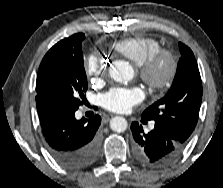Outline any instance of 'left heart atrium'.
<instances>
[{
	"label": "left heart atrium",
	"instance_id": "left-heart-atrium-1",
	"mask_svg": "<svg viewBox=\"0 0 223 188\" xmlns=\"http://www.w3.org/2000/svg\"><path fill=\"white\" fill-rule=\"evenodd\" d=\"M144 99V92L139 87L110 89L100 97L101 105L115 113L128 112Z\"/></svg>",
	"mask_w": 223,
	"mask_h": 188
}]
</instances>
